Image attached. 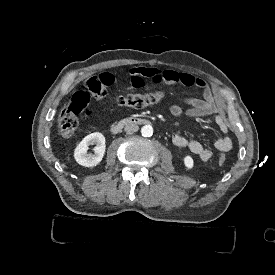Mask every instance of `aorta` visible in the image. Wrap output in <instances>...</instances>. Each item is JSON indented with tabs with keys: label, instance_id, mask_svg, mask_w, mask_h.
<instances>
[{
	"label": "aorta",
	"instance_id": "aorta-1",
	"mask_svg": "<svg viewBox=\"0 0 275 275\" xmlns=\"http://www.w3.org/2000/svg\"><path fill=\"white\" fill-rule=\"evenodd\" d=\"M141 134L143 137H151L153 135V127L151 125H144L141 128Z\"/></svg>",
	"mask_w": 275,
	"mask_h": 275
}]
</instances>
